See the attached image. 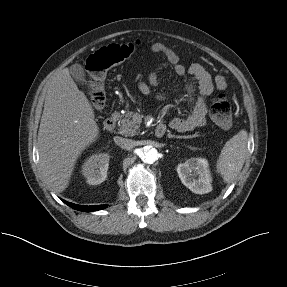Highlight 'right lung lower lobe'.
Listing matches in <instances>:
<instances>
[{"instance_id": "obj_1", "label": "right lung lower lobe", "mask_w": 287, "mask_h": 287, "mask_svg": "<svg viewBox=\"0 0 287 287\" xmlns=\"http://www.w3.org/2000/svg\"><path fill=\"white\" fill-rule=\"evenodd\" d=\"M64 203H66L67 205H69L70 207L76 209V210H80V211H96V210H100L106 207V205H97V206H82V205H76L70 202H67L65 200H63Z\"/></svg>"}]
</instances>
